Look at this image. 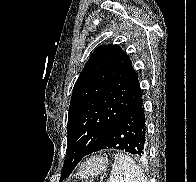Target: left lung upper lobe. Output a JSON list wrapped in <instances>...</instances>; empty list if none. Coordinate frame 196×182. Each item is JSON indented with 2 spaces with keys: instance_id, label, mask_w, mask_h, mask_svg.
<instances>
[{
  "instance_id": "5c2ea615",
  "label": "left lung upper lobe",
  "mask_w": 196,
  "mask_h": 182,
  "mask_svg": "<svg viewBox=\"0 0 196 182\" xmlns=\"http://www.w3.org/2000/svg\"><path fill=\"white\" fill-rule=\"evenodd\" d=\"M141 93L129 56L117 45L99 46L91 54L73 88L66 156L76 146L80 152L92 153ZM76 165L75 161H64L60 180Z\"/></svg>"
}]
</instances>
